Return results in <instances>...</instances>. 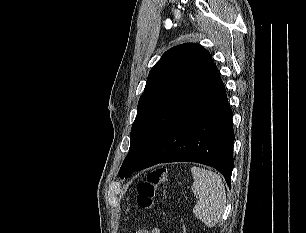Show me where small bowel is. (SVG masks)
Listing matches in <instances>:
<instances>
[{"instance_id": "obj_1", "label": "small bowel", "mask_w": 306, "mask_h": 233, "mask_svg": "<svg viewBox=\"0 0 306 233\" xmlns=\"http://www.w3.org/2000/svg\"><path fill=\"white\" fill-rule=\"evenodd\" d=\"M136 233H161L160 228L155 227L152 229H140Z\"/></svg>"}]
</instances>
